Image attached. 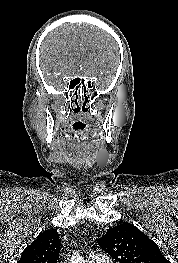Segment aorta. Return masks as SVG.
Instances as JSON below:
<instances>
[{
  "mask_svg": "<svg viewBox=\"0 0 178 263\" xmlns=\"http://www.w3.org/2000/svg\"><path fill=\"white\" fill-rule=\"evenodd\" d=\"M69 263H85V260L80 256H73Z\"/></svg>",
  "mask_w": 178,
  "mask_h": 263,
  "instance_id": "1",
  "label": "aorta"
}]
</instances>
